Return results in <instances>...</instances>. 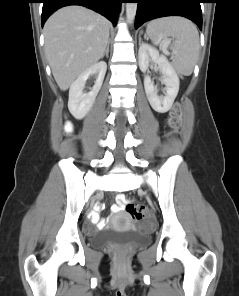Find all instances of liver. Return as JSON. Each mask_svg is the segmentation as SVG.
Here are the masks:
<instances>
[{"label":"liver","instance_id":"1","mask_svg":"<svg viewBox=\"0 0 239 296\" xmlns=\"http://www.w3.org/2000/svg\"><path fill=\"white\" fill-rule=\"evenodd\" d=\"M111 23L81 6L56 11L45 23V52L62 91L105 53Z\"/></svg>","mask_w":239,"mask_h":296}]
</instances>
